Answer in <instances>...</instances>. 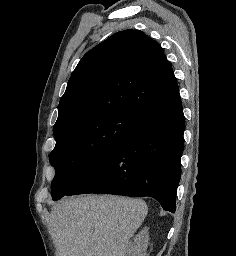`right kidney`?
Instances as JSON below:
<instances>
[{
	"label": "right kidney",
	"instance_id": "obj_1",
	"mask_svg": "<svg viewBox=\"0 0 236 256\" xmlns=\"http://www.w3.org/2000/svg\"><path fill=\"white\" fill-rule=\"evenodd\" d=\"M149 244L148 228H143L129 244V256H146Z\"/></svg>",
	"mask_w": 236,
	"mask_h": 256
}]
</instances>
